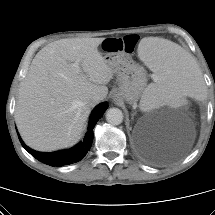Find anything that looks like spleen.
<instances>
[{"label":"spleen","instance_id":"3e777b00","mask_svg":"<svg viewBox=\"0 0 215 215\" xmlns=\"http://www.w3.org/2000/svg\"><path fill=\"white\" fill-rule=\"evenodd\" d=\"M138 50L144 63L154 73V83L143 91L142 109L179 106L186 97L203 98L205 81L190 55L180 47L165 40L144 38Z\"/></svg>","mask_w":215,"mask_h":215}]
</instances>
